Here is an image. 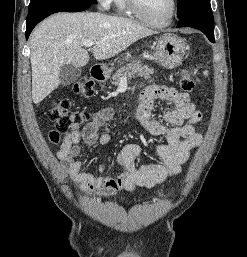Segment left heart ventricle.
Wrapping results in <instances>:
<instances>
[{"label":"left heart ventricle","instance_id":"left-heart-ventricle-1","mask_svg":"<svg viewBox=\"0 0 247 257\" xmlns=\"http://www.w3.org/2000/svg\"><path fill=\"white\" fill-rule=\"evenodd\" d=\"M139 6L149 19L163 22L170 15L172 0H138Z\"/></svg>","mask_w":247,"mask_h":257}]
</instances>
